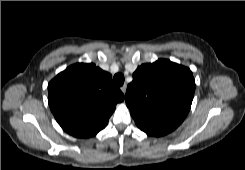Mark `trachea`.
Returning a JSON list of instances; mask_svg holds the SVG:
<instances>
[{
    "mask_svg": "<svg viewBox=\"0 0 245 170\" xmlns=\"http://www.w3.org/2000/svg\"><path fill=\"white\" fill-rule=\"evenodd\" d=\"M124 80H125V78H124V75L122 73L115 74V76H114V83L117 86H119V87L122 86L123 83H124Z\"/></svg>",
    "mask_w": 245,
    "mask_h": 170,
    "instance_id": "trachea-1",
    "label": "trachea"
}]
</instances>
